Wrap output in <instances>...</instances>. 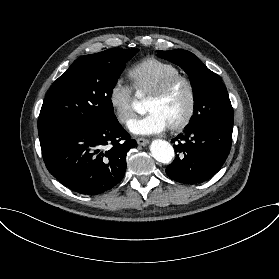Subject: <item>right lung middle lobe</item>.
Listing matches in <instances>:
<instances>
[{
    "label": "right lung middle lobe",
    "mask_w": 279,
    "mask_h": 279,
    "mask_svg": "<svg viewBox=\"0 0 279 279\" xmlns=\"http://www.w3.org/2000/svg\"><path fill=\"white\" fill-rule=\"evenodd\" d=\"M138 49L113 48L75 60L49 89L38 118L41 145L73 129L117 121L113 88Z\"/></svg>",
    "instance_id": "right-lung-middle-lobe-1"
}]
</instances>
